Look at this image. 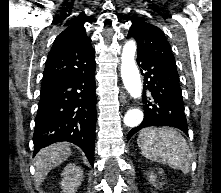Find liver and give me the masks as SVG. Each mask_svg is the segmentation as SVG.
Wrapping results in <instances>:
<instances>
[{
  "label": "liver",
  "instance_id": "1",
  "mask_svg": "<svg viewBox=\"0 0 221 193\" xmlns=\"http://www.w3.org/2000/svg\"><path fill=\"white\" fill-rule=\"evenodd\" d=\"M71 148L67 142H58L41 149L35 157V178L37 183L44 181L48 173L68 159Z\"/></svg>",
  "mask_w": 221,
  "mask_h": 193
}]
</instances>
